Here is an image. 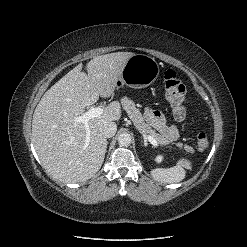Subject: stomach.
Listing matches in <instances>:
<instances>
[{"label":"stomach","mask_w":247,"mask_h":247,"mask_svg":"<svg viewBox=\"0 0 247 247\" xmlns=\"http://www.w3.org/2000/svg\"><path fill=\"white\" fill-rule=\"evenodd\" d=\"M159 65L153 57L135 54L130 57L117 81V87L126 85L141 89L151 85L159 76Z\"/></svg>","instance_id":"1"}]
</instances>
